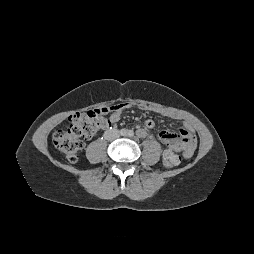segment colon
<instances>
[{
	"label": "colon",
	"mask_w": 254,
	"mask_h": 254,
	"mask_svg": "<svg viewBox=\"0 0 254 254\" xmlns=\"http://www.w3.org/2000/svg\"><path fill=\"white\" fill-rule=\"evenodd\" d=\"M107 112L108 108H101L76 113L70 117L67 128L54 132L52 141L68 161L75 163L78 160L79 153L84 147V139L92 137L100 129ZM179 162L180 158L176 154H169L163 160L166 168H174Z\"/></svg>",
	"instance_id": "5ec220e1"
}]
</instances>
